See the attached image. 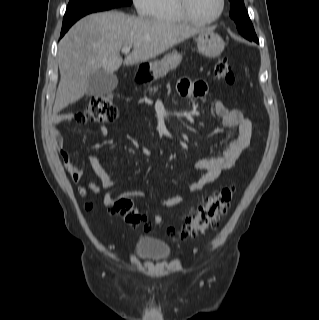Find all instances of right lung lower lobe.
<instances>
[{
	"instance_id": "98d812e1",
	"label": "right lung lower lobe",
	"mask_w": 319,
	"mask_h": 320,
	"mask_svg": "<svg viewBox=\"0 0 319 320\" xmlns=\"http://www.w3.org/2000/svg\"><path fill=\"white\" fill-rule=\"evenodd\" d=\"M69 28H62L61 30V37L67 32Z\"/></svg>"
}]
</instances>
